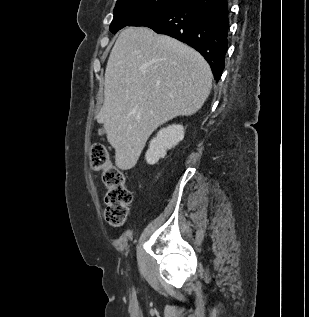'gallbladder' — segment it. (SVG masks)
<instances>
[{
    "label": "gallbladder",
    "mask_w": 309,
    "mask_h": 317,
    "mask_svg": "<svg viewBox=\"0 0 309 317\" xmlns=\"http://www.w3.org/2000/svg\"><path fill=\"white\" fill-rule=\"evenodd\" d=\"M104 133H105L104 129H99V130H98V134H99V135H103Z\"/></svg>",
    "instance_id": "obj_1"
}]
</instances>
